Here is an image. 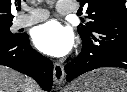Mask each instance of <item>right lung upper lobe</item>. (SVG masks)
I'll return each instance as SVG.
<instances>
[{
    "mask_svg": "<svg viewBox=\"0 0 127 92\" xmlns=\"http://www.w3.org/2000/svg\"><path fill=\"white\" fill-rule=\"evenodd\" d=\"M21 0H0V25L12 23L11 6L20 5Z\"/></svg>",
    "mask_w": 127,
    "mask_h": 92,
    "instance_id": "obj_1",
    "label": "right lung upper lobe"
}]
</instances>
